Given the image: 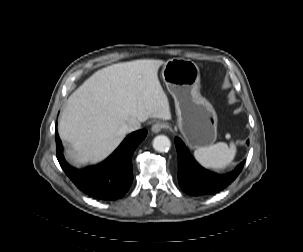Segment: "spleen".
Instances as JSON below:
<instances>
[{"instance_id":"1","label":"spleen","mask_w":303,"mask_h":252,"mask_svg":"<svg viewBox=\"0 0 303 252\" xmlns=\"http://www.w3.org/2000/svg\"><path fill=\"white\" fill-rule=\"evenodd\" d=\"M236 151L234 142H231L229 146L224 142H218L214 145L197 148L194 151V156L205 168L221 170L230 165Z\"/></svg>"}]
</instances>
